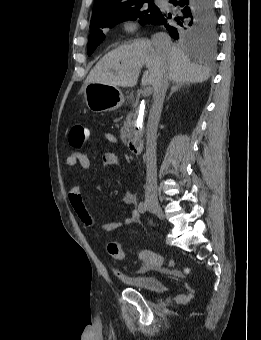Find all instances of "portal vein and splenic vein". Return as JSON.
I'll return each mask as SVG.
<instances>
[{
    "mask_svg": "<svg viewBox=\"0 0 261 340\" xmlns=\"http://www.w3.org/2000/svg\"><path fill=\"white\" fill-rule=\"evenodd\" d=\"M151 93H152V88H151V87H147V88L144 90L143 96H144V97H147V96L150 95Z\"/></svg>",
    "mask_w": 261,
    "mask_h": 340,
    "instance_id": "obj_1",
    "label": "portal vein and splenic vein"
}]
</instances>
